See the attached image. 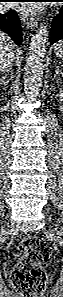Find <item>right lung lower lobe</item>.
<instances>
[{"mask_svg":"<svg viewBox=\"0 0 63 297\" xmlns=\"http://www.w3.org/2000/svg\"><path fill=\"white\" fill-rule=\"evenodd\" d=\"M0 30L7 33L18 46L22 43V29L15 11L0 13Z\"/></svg>","mask_w":63,"mask_h":297,"instance_id":"1","label":"right lung lower lobe"}]
</instances>
